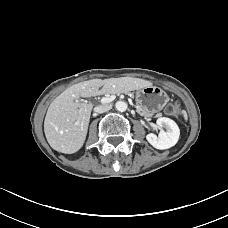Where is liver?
<instances>
[{
    "mask_svg": "<svg viewBox=\"0 0 228 228\" xmlns=\"http://www.w3.org/2000/svg\"><path fill=\"white\" fill-rule=\"evenodd\" d=\"M151 85L150 81L131 77L92 79L72 85L57 96L48 107L44 132L49 145L65 154H73L83 146L93 105L81 103L80 97L138 90ZM78 119L79 124H76Z\"/></svg>",
    "mask_w": 228,
    "mask_h": 228,
    "instance_id": "6515ba94",
    "label": "liver"
}]
</instances>
